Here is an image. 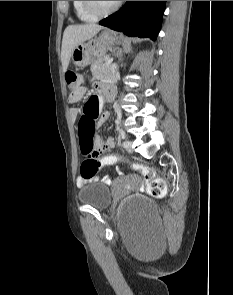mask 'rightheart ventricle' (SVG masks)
Listing matches in <instances>:
<instances>
[{
    "instance_id": "e07e8e85",
    "label": "right heart ventricle",
    "mask_w": 233,
    "mask_h": 295,
    "mask_svg": "<svg viewBox=\"0 0 233 295\" xmlns=\"http://www.w3.org/2000/svg\"><path fill=\"white\" fill-rule=\"evenodd\" d=\"M73 10L77 18L83 22H93L97 20V16L89 13L84 5L83 1H72Z\"/></svg>"
}]
</instances>
